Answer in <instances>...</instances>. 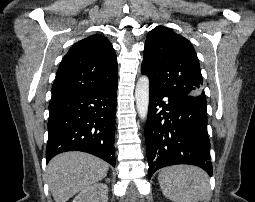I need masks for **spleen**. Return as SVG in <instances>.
<instances>
[{
  "instance_id": "3e777b00",
  "label": "spleen",
  "mask_w": 255,
  "mask_h": 202,
  "mask_svg": "<svg viewBox=\"0 0 255 202\" xmlns=\"http://www.w3.org/2000/svg\"><path fill=\"white\" fill-rule=\"evenodd\" d=\"M158 181L164 196L173 202H198L209 197L208 175L198 167L178 165L164 168Z\"/></svg>"
}]
</instances>
